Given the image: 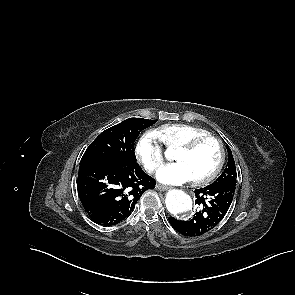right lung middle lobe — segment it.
<instances>
[{"instance_id":"obj_1","label":"right lung middle lobe","mask_w":295,"mask_h":295,"mask_svg":"<svg viewBox=\"0 0 295 295\" xmlns=\"http://www.w3.org/2000/svg\"><path fill=\"white\" fill-rule=\"evenodd\" d=\"M157 120L129 118L103 131L86 149L80 165L114 158L136 161L134 142L139 133Z\"/></svg>"}]
</instances>
